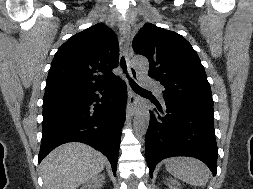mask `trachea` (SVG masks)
<instances>
[{
  "label": "trachea",
  "instance_id": "3493384b",
  "mask_svg": "<svg viewBox=\"0 0 253 189\" xmlns=\"http://www.w3.org/2000/svg\"><path fill=\"white\" fill-rule=\"evenodd\" d=\"M120 64H121V68L123 69L124 72H126V61L124 59V57L121 58V61H120ZM129 84L130 86L132 87V89L134 91H140V92H148L147 90L141 88L133 79L129 78Z\"/></svg>",
  "mask_w": 253,
  "mask_h": 189
}]
</instances>
